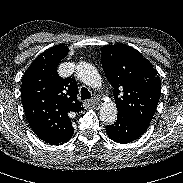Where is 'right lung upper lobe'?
I'll use <instances>...</instances> for the list:
<instances>
[{
    "label": "right lung upper lobe",
    "instance_id": "right-lung-upper-lobe-1",
    "mask_svg": "<svg viewBox=\"0 0 183 183\" xmlns=\"http://www.w3.org/2000/svg\"><path fill=\"white\" fill-rule=\"evenodd\" d=\"M69 48L56 45L40 54L21 79V96L26 118L33 132L49 144L71 139L74 128L71 116L83 110L77 100V83L73 78L62 79L57 65Z\"/></svg>",
    "mask_w": 183,
    "mask_h": 183
}]
</instances>
